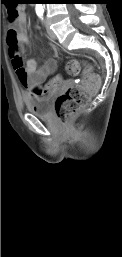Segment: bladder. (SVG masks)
I'll return each instance as SVG.
<instances>
[{
  "instance_id": "31cf9c89",
  "label": "bladder",
  "mask_w": 122,
  "mask_h": 257,
  "mask_svg": "<svg viewBox=\"0 0 122 257\" xmlns=\"http://www.w3.org/2000/svg\"><path fill=\"white\" fill-rule=\"evenodd\" d=\"M26 108L38 117H47L51 111V97L32 96L24 100Z\"/></svg>"
}]
</instances>
